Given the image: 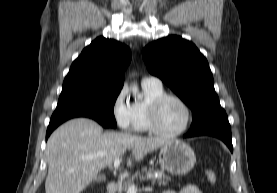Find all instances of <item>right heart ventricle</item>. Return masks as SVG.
I'll return each mask as SVG.
<instances>
[{"label": "right heart ventricle", "mask_w": 277, "mask_h": 193, "mask_svg": "<svg viewBox=\"0 0 277 193\" xmlns=\"http://www.w3.org/2000/svg\"><path fill=\"white\" fill-rule=\"evenodd\" d=\"M146 99L143 102H135L133 107L134 113V130L137 132H150L149 122H148V104L155 97L164 93L163 88H155L143 86Z\"/></svg>", "instance_id": "obj_1"}]
</instances>
